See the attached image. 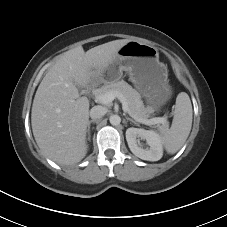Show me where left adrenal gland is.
<instances>
[{"mask_svg": "<svg viewBox=\"0 0 227 227\" xmlns=\"http://www.w3.org/2000/svg\"><path fill=\"white\" fill-rule=\"evenodd\" d=\"M125 118H126V120L134 123L135 125H138V123L136 121H134L133 119H131V118L127 117V116H125Z\"/></svg>", "mask_w": 227, "mask_h": 227, "instance_id": "obj_1", "label": "left adrenal gland"}]
</instances>
